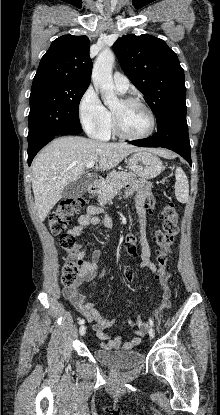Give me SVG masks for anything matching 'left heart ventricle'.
Returning <instances> with one entry per match:
<instances>
[{"instance_id": "1", "label": "left heart ventricle", "mask_w": 220, "mask_h": 415, "mask_svg": "<svg viewBox=\"0 0 220 415\" xmlns=\"http://www.w3.org/2000/svg\"><path fill=\"white\" fill-rule=\"evenodd\" d=\"M112 111L117 114L123 130L130 135H143L150 129V116L138 105H124L119 101Z\"/></svg>"}]
</instances>
